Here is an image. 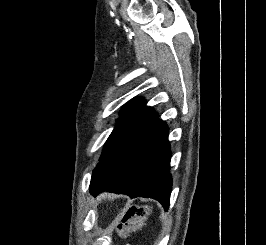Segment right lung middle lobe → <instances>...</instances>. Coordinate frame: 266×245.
I'll return each instance as SVG.
<instances>
[{"instance_id": "obj_1", "label": "right lung middle lobe", "mask_w": 266, "mask_h": 245, "mask_svg": "<svg viewBox=\"0 0 266 245\" xmlns=\"http://www.w3.org/2000/svg\"><path fill=\"white\" fill-rule=\"evenodd\" d=\"M147 122L118 120L117 126L106 141L101 160L118 148Z\"/></svg>"}]
</instances>
